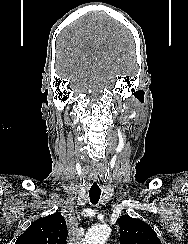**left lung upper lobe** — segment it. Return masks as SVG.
Instances as JSON below:
<instances>
[{
    "label": "left lung upper lobe",
    "mask_w": 188,
    "mask_h": 244,
    "mask_svg": "<svg viewBox=\"0 0 188 244\" xmlns=\"http://www.w3.org/2000/svg\"><path fill=\"white\" fill-rule=\"evenodd\" d=\"M119 226L121 244H161L155 231L142 220L122 215Z\"/></svg>",
    "instance_id": "obj_1"
}]
</instances>
